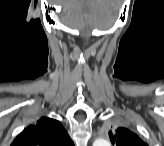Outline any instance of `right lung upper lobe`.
<instances>
[{
    "label": "right lung upper lobe",
    "mask_w": 164,
    "mask_h": 146,
    "mask_svg": "<svg viewBox=\"0 0 164 146\" xmlns=\"http://www.w3.org/2000/svg\"><path fill=\"white\" fill-rule=\"evenodd\" d=\"M73 142L62 124L42 117L20 133L11 146H72Z\"/></svg>",
    "instance_id": "cb5924a9"
}]
</instances>
